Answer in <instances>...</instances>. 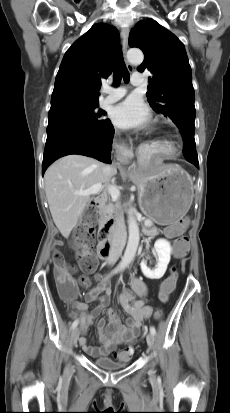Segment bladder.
<instances>
[{"label":"bladder","mask_w":230,"mask_h":413,"mask_svg":"<svg viewBox=\"0 0 230 413\" xmlns=\"http://www.w3.org/2000/svg\"><path fill=\"white\" fill-rule=\"evenodd\" d=\"M94 364L104 370H119L125 368L127 363H117L108 357H99L94 360Z\"/></svg>","instance_id":"1"}]
</instances>
